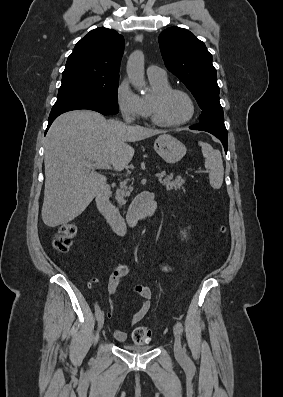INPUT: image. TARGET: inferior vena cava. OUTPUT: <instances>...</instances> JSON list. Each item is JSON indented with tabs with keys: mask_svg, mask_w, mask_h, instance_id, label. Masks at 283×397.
<instances>
[{
	"mask_svg": "<svg viewBox=\"0 0 283 397\" xmlns=\"http://www.w3.org/2000/svg\"><path fill=\"white\" fill-rule=\"evenodd\" d=\"M124 120H125L126 123H131L132 122V119L128 115H126L124 117Z\"/></svg>",
	"mask_w": 283,
	"mask_h": 397,
	"instance_id": "obj_1",
	"label": "inferior vena cava"
}]
</instances>
